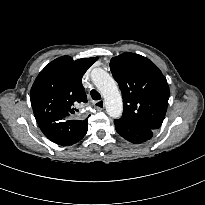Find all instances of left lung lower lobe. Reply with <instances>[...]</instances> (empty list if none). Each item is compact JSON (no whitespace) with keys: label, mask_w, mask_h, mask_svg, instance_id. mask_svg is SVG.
<instances>
[{"label":"left lung lower lobe","mask_w":205,"mask_h":205,"mask_svg":"<svg viewBox=\"0 0 205 205\" xmlns=\"http://www.w3.org/2000/svg\"><path fill=\"white\" fill-rule=\"evenodd\" d=\"M114 124L117 133L134 144L146 142L153 136L154 130L122 118L114 120Z\"/></svg>","instance_id":"left-lung-lower-lobe-1"}]
</instances>
